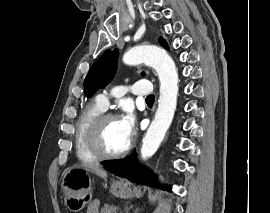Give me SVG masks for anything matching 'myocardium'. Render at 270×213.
Instances as JSON below:
<instances>
[{
	"label": "myocardium",
	"mask_w": 270,
	"mask_h": 213,
	"mask_svg": "<svg viewBox=\"0 0 270 213\" xmlns=\"http://www.w3.org/2000/svg\"><path fill=\"white\" fill-rule=\"evenodd\" d=\"M111 119H118V117L110 112H102L93 119L87 131V147L99 160L120 159L126 156L131 149V143L129 142L122 151L117 153H107L103 150L101 146L102 130L105 123Z\"/></svg>",
	"instance_id": "1"
}]
</instances>
